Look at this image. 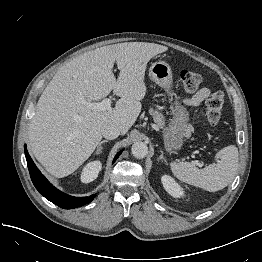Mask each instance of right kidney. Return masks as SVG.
<instances>
[{
    "label": "right kidney",
    "mask_w": 262,
    "mask_h": 262,
    "mask_svg": "<svg viewBox=\"0 0 262 262\" xmlns=\"http://www.w3.org/2000/svg\"><path fill=\"white\" fill-rule=\"evenodd\" d=\"M102 164L100 161H92L88 163L82 170L81 181L83 183H90L95 180L101 171Z\"/></svg>",
    "instance_id": "obj_1"
}]
</instances>
